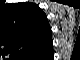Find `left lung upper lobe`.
Returning a JSON list of instances; mask_svg holds the SVG:
<instances>
[{
    "label": "left lung upper lobe",
    "instance_id": "5c2ea615",
    "mask_svg": "<svg viewBox=\"0 0 80 60\" xmlns=\"http://www.w3.org/2000/svg\"><path fill=\"white\" fill-rule=\"evenodd\" d=\"M12 22L8 27L9 47L14 51L38 48L43 39V19L45 14L33 3L10 4ZM7 32V31H6Z\"/></svg>",
    "mask_w": 80,
    "mask_h": 60
}]
</instances>
